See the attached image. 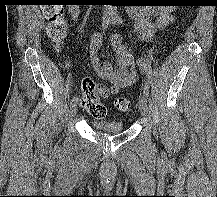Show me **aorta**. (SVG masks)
Masks as SVG:
<instances>
[{"label": "aorta", "mask_w": 217, "mask_h": 197, "mask_svg": "<svg viewBox=\"0 0 217 197\" xmlns=\"http://www.w3.org/2000/svg\"><path fill=\"white\" fill-rule=\"evenodd\" d=\"M117 15V7L112 5H104V18L114 20Z\"/></svg>", "instance_id": "1"}]
</instances>
